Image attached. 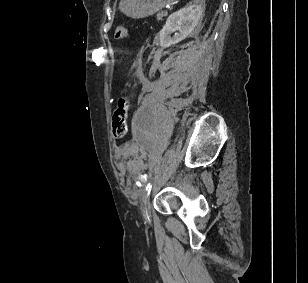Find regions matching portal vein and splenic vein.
I'll use <instances>...</instances> for the list:
<instances>
[{
  "label": "portal vein and splenic vein",
  "instance_id": "obj_1",
  "mask_svg": "<svg viewBox=\"0 0 308 283\" xmlns=\"http://www.w3.org/2000/svg\"><path fill=\"white\" fill-rule=\"evenodd\" d=\"M168 10H172L173 9V6H167L166 7Z\"/></svg>",
  "mask_w": 308,
  "mask_h": 283
}]
</instances>
